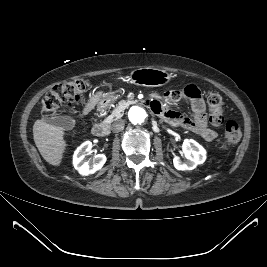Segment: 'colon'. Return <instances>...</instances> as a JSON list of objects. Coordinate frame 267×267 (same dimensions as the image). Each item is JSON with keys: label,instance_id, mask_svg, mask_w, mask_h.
Instances as JSON below:
<instances>
[{"label": "colon", "instance_id": "obj_1", "mask_svg": "<svg viewBox=\"0 0 267 267\" xmlns=\"http://www.w3.org/2000/svg\"><path fill=\"white\" fill-rule=\"evenodd\" d=\"M89 82L74 79L55 85L42 99L41 112L47 118H52L64 107L81 102L89 89ZM209 120L213 125L224 123L225 103L218 93L208 96ZM241 138L239 122L230 118L225 122V138L222 147L237 143Z\"/></svg>", "mask_w": 267, "mask_h": 267}]
</instances>
